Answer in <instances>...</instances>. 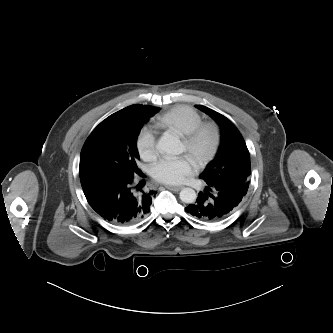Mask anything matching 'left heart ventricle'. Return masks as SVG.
I'll list each match as a JSON object with an SVG mask.
<instances>
[{
	"label": "left heart ventricle",
	"instance_id": "left-heart-ventricle-1",
	"mask_svg": "<svg viewBox=\"0 0 333 333\" xmlns=\"http://www.w3.org/2000/svg\"><path fill=\"white\" fill-rule=\"evenodd\" d=\"M210 142H211V137H210V135L206 134V135L202 138V140H201V142H200V145H199V150H200L201 153H204V152L207 151V149L209 148ZM181 152H186V153H188L187 148H186V145H185V143H184L183 141H182V144H181ZM188 155H189V157H190V158L194 161V163H195V158H194V156H193L192 154H190V153H188Z\"/></svg>",
	"mask_w": 333,
	"mask_h": 333
}]
</instances>
